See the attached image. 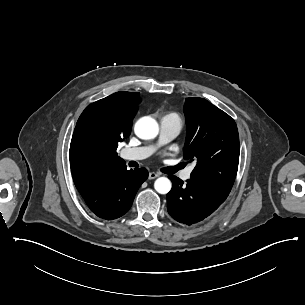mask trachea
Returning <instances> with one entry per match:
<instances>
[{
	"mask_svg": "<svg viewBox=\"0 0 305 305\" xmlns=\"http://www.w3.org/2000/svg\"><path fill=\"white\" fill-rule=\"evenodd\" d=\"M185 166L184 165H176V166H173V167H166V168H163L161 171L165 174H175L178 170L184 168Z\"/></svg>",
	"mask_w": 305,
	"mask_h": 305,
	"instance_id": "3493384b",
	"label": "trachea"
}]
</instances>
